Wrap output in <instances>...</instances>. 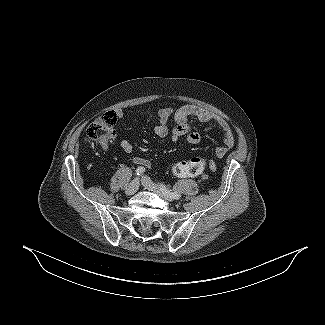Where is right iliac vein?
<instances>
[{"mask_svg": "<svg viewBox=\"0 0 325 325\" xmlns=\"http://www.w3.org/2000/svg\"><path fill=\"white\" fill-rule=\"evenodd\" d=\"M138 187H139L138 179H134L127 186V188L125 190L126 195H133V194H135L137 192V190H138Z\"/></svg>", "mask_w": 325, "mask_h": 325, "instance_id": "right-iliac-vein-1", "label": "right iliac vein"}]
</instances>
